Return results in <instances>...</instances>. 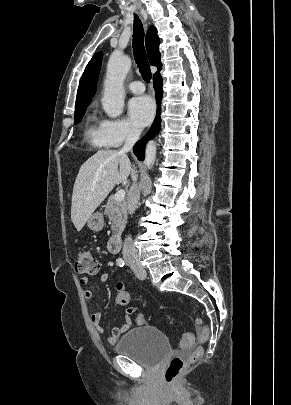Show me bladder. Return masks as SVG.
I'll return each instance as SVG.
<instances>
[{"label":"bladder","mask_w":291,"mask_h":405,"mask_svg":"<svg viewBox=\"0 0 291 405\" xmlns=\"http://www.w3.org/2000/svg\"><path fill=\"white\" fill-rule=\"evenodd\" d=\"M115 351L144 368L155 369L169 354L170 345L160 329L143 325L127 332L115 345Z\"/></svg>","instance_id":"1"}]
</instances>
